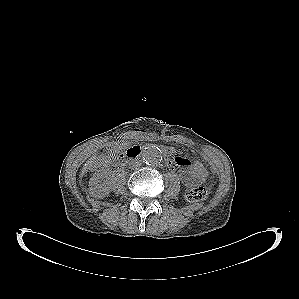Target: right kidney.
Listing matches in <instances>:
<instances>
[{"instance_id":"right-kidney-1","label":"right kidney","mask_w":299,"mask_h":299,"mask_svg":"<svg viewBox=\"0 0 299 299\" xmlns=\"http://www.w3.org/2000/svg\"><path fill=\"white\" fill-rule=\"evenodd\" d=\"M105 169L98 170L97 173L90 179L89 188L90 194L96 198L106 197L110 192V187Z\"/></svg>"}]
</instances>
